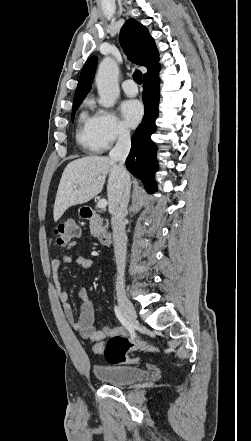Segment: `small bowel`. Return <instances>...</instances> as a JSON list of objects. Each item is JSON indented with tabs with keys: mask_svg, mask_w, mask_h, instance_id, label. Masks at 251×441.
<instances>
[{
	"mask_svg": "<svg viewBox=\"0 0 251 441\" xmlns=\"http://www.w3.org/2000/svg\"><path fill=\"white\" fill-rule=\"evenodd\" d=\"M75 262L80 268L84 270H89L93 266V261L85 256H78L73 258L70 254L63 255L60 259H53L51 261V275L53 284L57 293L59 300L62 303V309L65 318L69 322L70 326L79 334L96 344L101 343L105 338H110L113 336H126V330L123 327H104L102 329H97L94 326V304L90 300L87 291L81 288L78 291V298L81 301L80 314L76 319L74 317L72 306L69 302V294L63 288L59 279V270L62 264H67Z\"/></svg>",
	"mask_w": 251,
	"mask_h": 441,
	"instance_id": "1",
	"label": "small bowel"
}]
</instances>
